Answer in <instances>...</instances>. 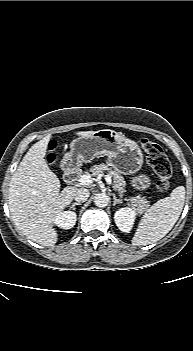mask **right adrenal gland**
I'll use <instances>...</instances> for the list:
<instances>
[{
    "mask_svg": "<svg viewBox=\"0 0 193 351\" xmlns=\"http://www.w3.org/2000/svg\"><path fill=\"white\" fill-rule=\"evenodd\" d=\"M76 205H81V202H74L72 205H71V209L75 210V206Z\"/></svg>",
    "mask_w": 193,
    "mask_h": 351,
    "instance_id": "obj_1",
    "label": "right adrenal gland"
}]
</instances>
